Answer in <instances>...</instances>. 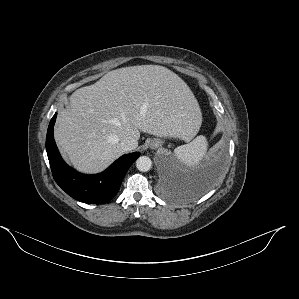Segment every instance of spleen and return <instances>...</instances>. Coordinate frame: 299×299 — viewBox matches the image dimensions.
I'll list each match as a JSON object with an SVG mask.
<instances>
[{
  "label": "spleen",
  "instance_id": "1",
  "mask_svg": "<svg viewBox=\"0 0 299 299\" xmlns=\"http://www.w3.org/2000/svg\"><path fill=\"white\" fill-rule=\"evenodd\" d=\"M208 142L205 136H198L192 142L174 150L175 156L187 166L198 165L207 155Z\"/></svg>",
  "mask_w": 299,
  "mask_h": 299
}]
</instances>
